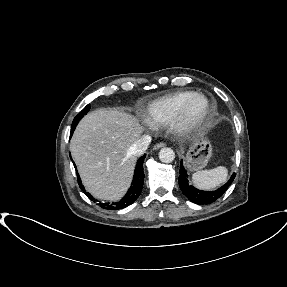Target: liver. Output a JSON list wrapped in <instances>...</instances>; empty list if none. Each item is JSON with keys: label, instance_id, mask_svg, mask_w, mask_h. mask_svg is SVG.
Listing matches in <instances>:
<instances>
[{"label": "liver", "instance_id": "1", "mask_svg": "<svg viewBox=\"0 0 287 287\" xmlns=\"http://www.w3.org/2000/svg\"><path fill=\"white\" fill-rule=\"evenodd\" d=\"M143 130L137 118L118 109H98L79 122L70 150L84 186L94 197L117 201L126 193L137 161L130 147Z\"/></svg>", "mask_w": 287, "mask_h": 287}]
</instances>
